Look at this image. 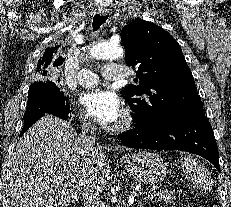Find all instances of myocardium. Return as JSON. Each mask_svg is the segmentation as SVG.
I'll return each instance as SVG.
<instances>
[{
    "label": "myocardium",
    "mask_w": 231,
    "mask_h": 207,
    "mask_svg": "<svg viewBox=\"0 0 231 207\" xmlns=\"http://www.w3.org/2000/svg\"><path fill=\"white\" fill-rule=\"evenodd\" d=\"M133 119L129 114H125L124 117L113 127L115 131H126L132 125Z\"/></svg>",
    "instance_id": "1"
}]
</instances>
